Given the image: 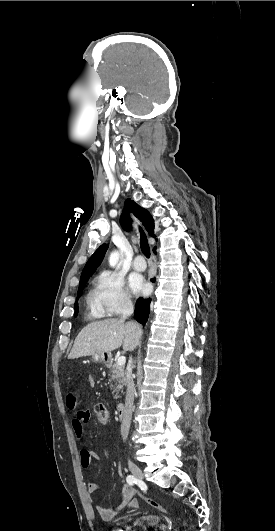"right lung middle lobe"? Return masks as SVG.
I'll list each match as a JSON object with an SVG mask.
<instances>
[{"mask_svg": "<svg viewBox=\"0 0 275 531\" xmlns=\"http://www.w3.org/2000/svg\"><path fill=\"white\" fill-rule=\"evenodd\" d=\"M87 282V281H86ZM86 282H84L83 284H81L79 286V289H78V297H80V295L82 294V290H83V287L84 285L86 284ZM77 313H78V303L76 302L75 303V316H77Z\"/></svg>", "mask_w": 275, "mask_h": 531, "instance_id": "right-lung-middle-lobe-1", "label": "right lung middle lobe"}]
</instances>
